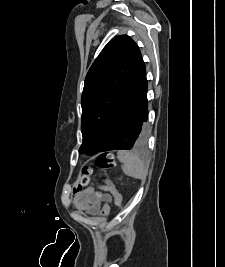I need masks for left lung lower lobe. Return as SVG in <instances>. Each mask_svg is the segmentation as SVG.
Returning a JSON list of instances; mask_svg holds the SVG:
<instances>
[{
    "instance_id": "left-lung-lower-lobe-1",
    "label": "left lung lower lobe",
    "mask_w": 225,
    "mask_h": 267,
    "mask_svg": "<svg viewBox=\"0 0 225 267\" xmlns=\"http://www.w3.org/2000/svg\"><path fill=\"white\" fill-rule=\"evenodd\" d=\"M147 120L146 68L141 58L124 94L113 133L100 152L135 147Z\"/></svg>"
}]
</instances>
